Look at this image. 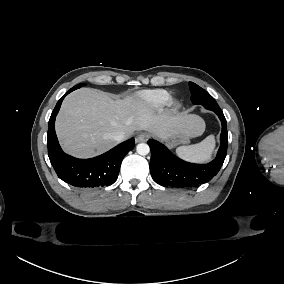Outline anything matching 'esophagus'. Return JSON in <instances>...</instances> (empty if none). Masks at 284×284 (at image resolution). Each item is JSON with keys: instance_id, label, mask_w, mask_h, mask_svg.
Instances as JSON below:
<instances>
[{"instance_id": "esophagus-1", "label": "esophagus", "mask_w": 284, "mask_h": 284, "mask_svg": "<svg viewBox=\"0 0 284 284\" xmlns=\"http://www.w3.org/2000/svg\"><path fill=\"white\" fill-rule=\"evenodd\" d=\"M147 139L148 135L146 133H140L136 138L137 142L146 141Z\"/></svg>"}]
</instances>
